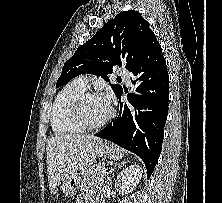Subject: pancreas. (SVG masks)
I'll use <instances>...</instances> for the list:
<instances>
[{"label":"pancreas","mask_w":222,"mask_h":203,"mask_svg":"<svg viewBox=\"0 0 222 203\" xmlns=\"http://www.w3.org/2000/svg\"><path fill=\"white\" fill-rule=\"evenodd\" d=\"M103 166V163H98L91 166L83 175L82 186L90 185L94 182L99 183L104 176Z\"/></svg>","instance_id":"cf45deb5"}]
</instances>
